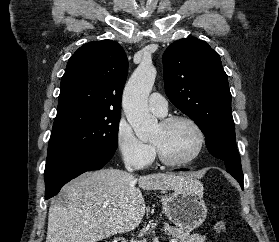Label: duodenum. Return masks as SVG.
<instances>
[{"mask_svg":"<svg viewBox=\"0 0 279 242\" xmlns=\"http://www.w3.org/2000/svg\"><path fill=\"white\" fill-rule=\"evenodd\" d=\"M113 242H127L124 238H116Z\"/></svg>","mask_w":279,"mask_h":242,"instance_id":"duodenum-1","label":"duodenum"}]
</instances>
